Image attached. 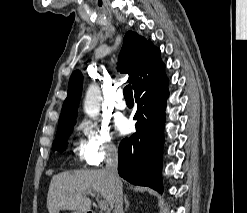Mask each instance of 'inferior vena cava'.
Segmentation results:
<instances>
[{"mask_svg": "<svg viewBox=\"0 0 247 213\" xmlns=\"http://www.w3.org/2000/svg\"><path fill=\"white\" fill-rule=\"evenodd\" d=\"M118 152L115 146H109L106 154V171L114 183V209L113 213L123 212L122 182L118 175Z\"/></svg>", "mask_w": 247, "mask_h": 213, "instance_id": "obj_1", "label": "inferior vena cava"}]
</instances>
